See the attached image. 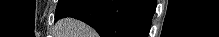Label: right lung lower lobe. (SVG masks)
Returning <instances> with one entry per match:
<instances>
[{"label": "right lung lower lobe", "mask_w": 219, "mask_h": 37, "mask_svg": "<svg viewBox=\"0 0 219 37\" xmlns=\"http://www.w3.org/2000/svg\"><path fill=\"white\" fill-rule=\"evenodd\" d=\"M155 7V0H73L55 20H82L101 37H146Z\"/></svg>", "instance_id": "right-lung-lower-lobe-1"}]
</instances>
